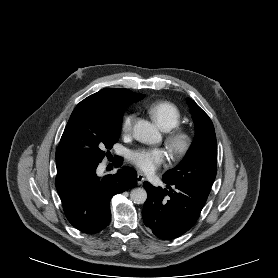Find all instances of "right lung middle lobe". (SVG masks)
<instances>
[{"label":"right lung middle lobe","mask_w":278,"mask_h":278,"mask_svg":"<svg viewBox=\"0 0 278 278\" xmlns=\"http://www.w3.org/2000/svg\"><path fill=\"white\" fill-rule=\"evenodd\" d=\"M137 102V101H136ZM80 107L73 111L56 152L57 169L99 164L103 158L113 161L110 152L118 141L124 110Z\"/></svg>","instance_id":"right-lung-middle-lobe-1"}]
</instances>
